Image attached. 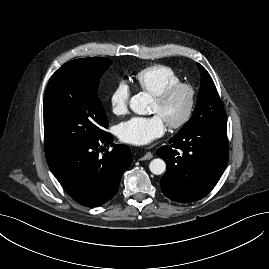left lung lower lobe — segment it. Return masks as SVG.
<instances>
[{
    "mask_svg": "<svg viewBox=\"0 0 269 269\" xmlns=\"http://www.w3.org/2000/svg\"><path fill=\"white\" fill-rule=\"evenodd\" d=\"M169 143L157 150L167 164L160 181L162 192L180 203L205 197L228 162L227 123L194 126L176 134Z\"/></svg>",
    "mask_w": 269,
    "mask_h": 269,
    "instance_id": "1",
    "label": "left lung lower lobe"
}]
</instances>
